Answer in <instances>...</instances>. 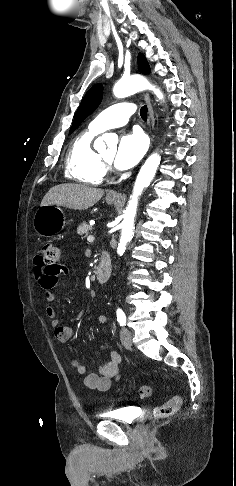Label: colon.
I'll list each match as a JSON object with an SVG mask.
<instances>
[{"mask_svg":"<svg viewBox=\"0 0 236 486\" xmlns=\"http://www.w3.org/2000/svg\"><path fill=\"white\" fill-rule=\"evenodd\" d=\"M61 257V249L53 242H47L42 247L41 259L47 266L54 267L58 265ZM153 388L149 385H143L139 388L141 398L150 397ZM183 400L180 396H173L168 402L157 406L154 409L153 416L155 419H164L175 414L181 407Z\"/></svg>","mask_w":236,"mask_h":486,"instance_id":"colon-1","label":"colon"}]
</instances>
